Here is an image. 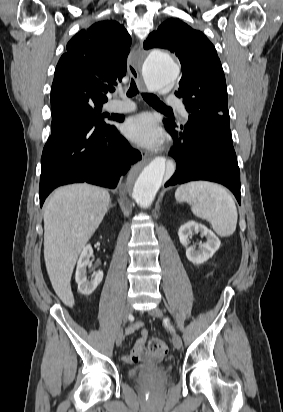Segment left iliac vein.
Instances as JSON below:
<instances>
[{"label": "left iliac vein", "mask_w": 283, "mask_h": 412, "mask_svg": "<svg viewBox=\"0 0 283 412\" xmlns=\"http://www.w3.org/2000/svg\"><path fill=\"white\" fill-rule=\"evenodd\" d=\"M151 316L161 318L163 316V312L159 307H155L149 311ZM173 345L176 349L180 350L182 348V340L181 337L177 333H173L172 335Z\"/></svg>", "instance_id": "left-iliac-vein-1"}]
</instances>
